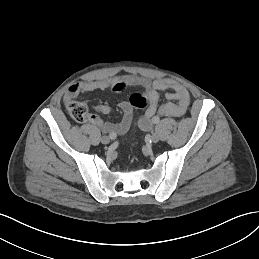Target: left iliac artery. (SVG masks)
Listing matches in <instances>:
<instances>
[{
	"mask_svg": "<svg viewBox=\"0 0 259 259\" xmlns=\"http://www.w3.org/2000/svg\"><path fill=\"white\" fill-rule=\"evenodd\" d=\"M159 121H160L159 116H154V117L152 118V123H154V124L159 123Z\"/></svg>",
	"mask_w": 259,
	"mask_h": 259,
	"instance_id": "left-iliac-artery-1",
	"label": "left iliac artery"
}]
</instances>
